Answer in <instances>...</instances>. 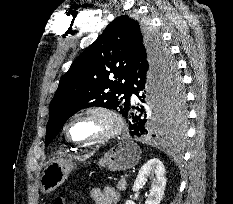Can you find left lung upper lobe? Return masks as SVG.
Masks as SVG:
<instances>
[{
    "mask_svg": "<svg viewBox=\"0 0 233 204\" xmlns=\"http://www.w3.org/2000/svg\"><path fill=\"white\" fill-rule=\"evenodd\" d=\"M142 51L161 84L166 126L180 127L186 115L184 94L169 49L147 25L124 15L113 20L61 77L49 106L45 145L79 109L100 106L124 115L130 105V70Z\"/></svg>",
    "mask_w": 233,
    "mask_h": 204,
    "instance_id": "1",
    "label": "left lung upper lobe"
}]
</instances>
